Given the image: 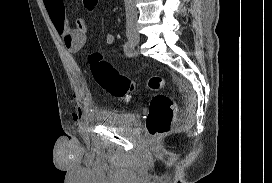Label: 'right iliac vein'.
<instances>
[{"label": "right iliac vein", "instance_id": "1", "mask_svg": "<svg viewBox=\"0 0 272 183\" xmlns=\"http://www.w3.org/2000/svg\"><path fill=\"white\" fill-rule=\"evenodd\" d=\"M128 39L132 44H137L139 42V36L134 31L128 32Z\"/></svg>", "mask_w": 272, "mask_h": 183}]
</instances>
